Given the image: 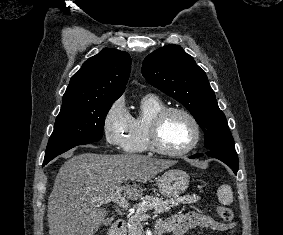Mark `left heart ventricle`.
<instances>
[{
	"mask_svg": "<svg viewBox=\"0 0 283 235\" xmlns=\"http://www.w3.org/2000/svg\"><path fill=\"white\" fill-rule=\"evenodd\" d=\"M192 138L193 127L180 113L170 114L161 124L159 142L167 150H181L191 142Z\"/></svg>",
	"mask_w": 283,
	"mask_h": 235,
	"instance_id": "1",
	"label": "left heart ventricle"
}]
</instances>
